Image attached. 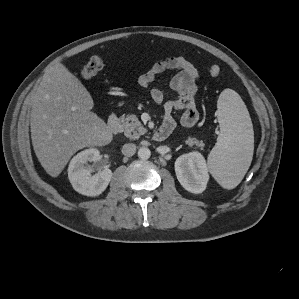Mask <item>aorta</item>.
Masks as SVG:
<instances>
[{
  "mask_svg": "<svg viewBox=\"0 0 299 299\" xmlns=\"http://www.w3.org/2000/svg\"><path fill=\"white\" fill-rule=\"evenodd\" d=\"M151 156V151L149 148L147 147H141L139 150H138V157L142 160H147L149 159Z\"/></svg>",
  "mask_w": 299,
  "mask_h": 299,
  "instance_id": "762f6f07",
  "label": "aorta"
}]
</instances>
